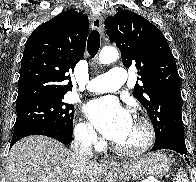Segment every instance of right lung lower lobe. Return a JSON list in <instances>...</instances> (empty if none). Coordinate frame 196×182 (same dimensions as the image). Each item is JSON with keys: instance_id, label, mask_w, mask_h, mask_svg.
I'll use <instances>...</instances> for the list:
<instances>
[{"instance_id": "1", "label": "right lung lower lobe", "mask_w": 196, "mask_h": 182, "mask_svg": "<svg viewBox=\"0 0 196 182\" xmlns=\"http://www.w3.org/2000/svg\"><path fill=\"white\" fill-rule=\"evenodd\" d=\"M29 135L49 136L66 145L72 140V133H69L63 129L49 125H36L14 132L10 147H12L19 139Z\"/></svg>"}]
</instances>
